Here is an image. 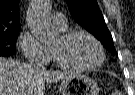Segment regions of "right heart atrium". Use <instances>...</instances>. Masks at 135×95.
Returning <instances> with one entry per match:
<instances>
[{"label": "right heart atrium", "instance_id": "right-heart-atrium-1", "mask_svg": "<svg viewBox=\"0 0 135 95\" xmlns=\"http://www.w3.org/2000/svg\"><path fill=\"white\" fill-rule=\"evenodd\" d=\"M19 48L29 60L45 62L50 58V52L29 31L24 30L18 40Z\"/></svg>", "mask_w": 135, "mask_h": 95}]
</instances>
